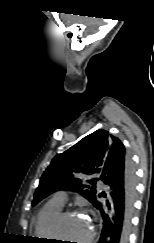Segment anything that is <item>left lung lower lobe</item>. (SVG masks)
Returning <instances> with one entry per match:
<instances>
[{
    "mask_svg": "<svg viewBox=\"0 0 154 243\" xmlns=\"http://www.w3.org/2000/svg\"><path fill=\"white\" fill-rule=\"evenodd\" d=\"M100 178L106 192L93 201L102 216L103 228L98 243H128L135 199V170L125 148L107 157Z\"/></svg>",
    "mask_w": 154,
    "mask_h": 243,
    "instance_id": "0a47b994",
    "label": "left lung lower lobe"
}]
</instances>
